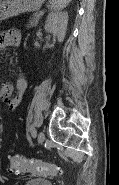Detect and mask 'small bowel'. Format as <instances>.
<instances>
[{
	"mask_svg": "<svg viewBox=\"0 0 119 185\" xmlns=\"http://www.w3.org/2000/svg\"><path fill=\"white\" fill-rule=\"evenodd\" d=\"M20 39L21 34L17 29L3 31L0 34V47L3 50H7L12 46H17L20 43ZM26 88L27 79L24 76L17 79L15 87L8 82L2 81L0 95L10 109H15L19 105Z\"/></svg>",
	"mask_w": 119,
	"mask_h": 185,
	"instance_id": "1",
	"label": "small bowel"
}]
</instances>
